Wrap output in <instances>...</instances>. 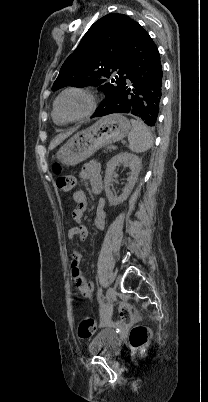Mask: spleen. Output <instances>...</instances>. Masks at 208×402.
I'll use <instances>...</instances> for the list:
<instances>
[{
	"instance_id": "1",
	"label": "spleen",
	"mask_w": 208,
	"mask_h": 402,
	"mask_svg": "<svg viewBox=\"0 0 208 402\" xmlns=\"http://www.w3.org/2000/svg\"><path fill=\"white\" fill-rule=\"evenodd\" d=\"M132 132L128 136L129 148L132 152H147L153 146L152 134L141 120H131Z\"/></svg>"
}]
</instances>
